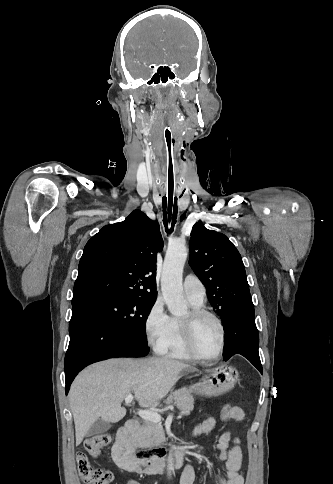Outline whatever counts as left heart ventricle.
<instances>
[{
  "label": "left heart ventricle",
  "mask_w": 333,
  "mask_h": 484,
  "mask_svg": "<svg viewBox=\"0 0 333 484\" xmlns=\"http://www.w3.org/2000/svg\"><path fill=\"white\" fill-rule=\"evenodd\" d=\"M195 344L198 352L205 357H212L220 345V330L211 318H203L195 328Z\"/></svg>",
  "instance_id": "b2bd125f"
}]
</instances>
